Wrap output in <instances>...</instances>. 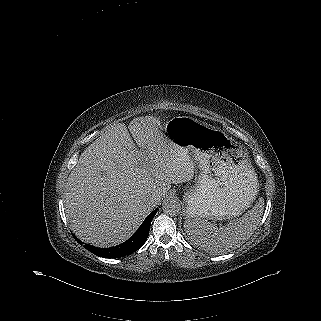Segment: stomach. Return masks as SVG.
<instances>
[{
    "label": "stomach",
    "instance_id": "obj_1",
    "mask_svg": "<svg viewBox=\"0 0 321 321\" xmlns=\"http://www.w3.org/2000/svg\"><path fill=\"white\" fill-rule=\"evenodd\" d=\"M164 135L190 153L200 168L197 185L184 194L187 218L230 219L249 207L257 180L246 151L232 138L188 116L167 121Z\"/></svg>",
    "mask_w": 321,
    "mask_h": 321
}]
</instances>
